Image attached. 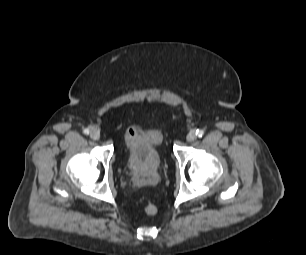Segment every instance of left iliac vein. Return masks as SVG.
<instances>
[{
  "instance_id": "4c4485c4",
  "label": "left iliac vein",
  "mask_w": 306,
  "mask_h": 255,
  "mask_svg": "<svg viewBox=\"0 0 306 255\" xmlns=\"http://www.w3.org/2000/svg\"><path fill=\"white\" fill-rule=\"evenodd\" d=\"M196 138H197V135L194 131L189 132L186 137L188 142H193L194 140H196Z\"/></svg>"
}]
</instances>
